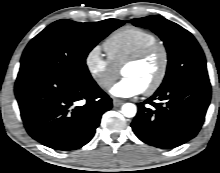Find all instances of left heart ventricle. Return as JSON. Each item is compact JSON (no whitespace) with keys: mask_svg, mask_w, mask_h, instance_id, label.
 <instances>
[{"mask_svg":"<svg viewBox=\"0 0 220 173\" xmlns=\"http://www.w3.org/2000/svg\"><path fill=\"white\" fill-rule=\"evenodd\" d=\"M161 66V55L155 53L145 61L125 66L122 74L136 79L144 89L150 86L158 75Z\"/></svg>","mask_w":220,"mask_h":173,"instance_id":"left-heart-ventricle-1","label":"left heart ventricle"}]
</instances>
